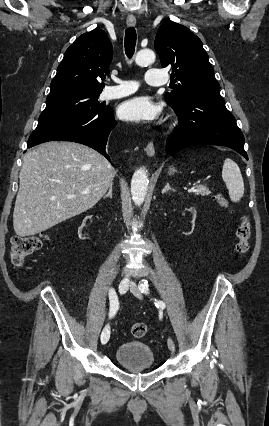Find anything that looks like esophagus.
I'll use <instances>...</instances> for the list:
<instances>
[{
	"mask_svg": "<svg viewBox=\"0 0 269 426\" xmlns=\"http://www.w3.org/2000/svg\"><path fill=\"white\" fill-rule=\"evenodd\" d=\"M126 22L128 26H134L136 24L135 16H132V15L128 16ZM145 151L149 157H153L155 155V148L153 143L151 142L148 143V145L145 148Z\"/></svg>",
	"mask_w": 269,
	"mask_h": 426,
	"instance_id": "obj_1",
	"label": "esophagus"
}]
</instances>
